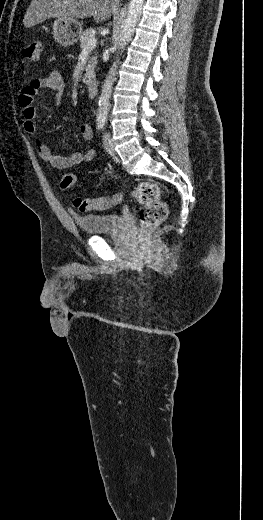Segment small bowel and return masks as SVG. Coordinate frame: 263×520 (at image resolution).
I'll return each mask as SVG.
<instances>
[{"label": "small bowel", "mask_w": 263, "mask_h": 520, "mask_svg": "<svg viewBox=\"0 0 263 520\" xmlns=\"http://www.w3.org/2000/svg\"><path fill=\"white\" fill-rule=\"evenodd\" d=\"M64 88L63 77L58 71H53L45 78L32 80L21 90L18 101L23 110V127L26 133L35 135L37 132V108L33 104L34 97L42 90H50L56 98H59L63 94ZM80 132L84 139L90 140L92 138V129L89 124H82ZM36 150L41 159L56 169H67L81 163L91 162L96 156V152L92 148L83 153H72L69 156L55 155L47 144L40 139L36 140Z\"/></svg>", "instance_id": "small-bowel-1"}]
</instances>
